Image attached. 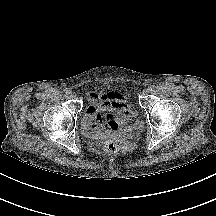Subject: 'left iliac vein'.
<instances>
[{"label": "left iliac vein", "instance_id": "left-iliac-vein-1", "mask_svg": "<svg viewBox=\"0 0 216 216\" xmlns=\"http://www.w3.org/2000/svg\"><path fill=\"white\" fill-rule=\"evenodd\" d=\"M142 93H143V95H148L150 93V89L145 88Z\"/></svg>", "mask_w": 216, "mask_h": 216}]
</instances>
